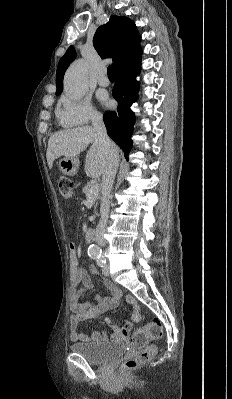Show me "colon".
<instances>
[{
  "label": "colon",
  "mask_w": 232,
  "mask_h": 399,
  "mask_svg": "<svg viewBox=\"0 0 232 399\" xmlns=\"http://www.w3.org/2000/svg\"><path fill=\"white\" fill-rule=\"evenodd\" d=\"M57 185H61V196L73 197V180L56 177ZM162 336L157 321H150L149 326H134V334H129V353L123 363L124 368H141V365H149V358H153V351H146V347H152V341H159Z\"/></svg>",
  "instance_id": "obj_1"
}]
</instances>
